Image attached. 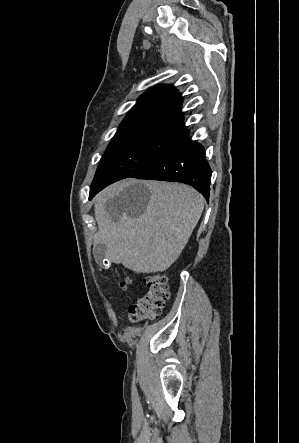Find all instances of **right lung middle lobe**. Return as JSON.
<instances>
[{
    "instance_id": "right-lung-middle-lobe-1",
    "label": "right lung middle lobe",
    "mask_w": 299,
    "mask_h": 443,
    "mask_svg": "<svg viewBox=\"0 0 299 443\" xmlns=\"http://www.w3.org/2000/svg\"><path fill=\"white\" fill-rule=\"evenodd\" d=\"M184 129V123L144 121L117 131L97 168L90 195L142 169L168 149Z\"/></svg>"
}]
</instances>
